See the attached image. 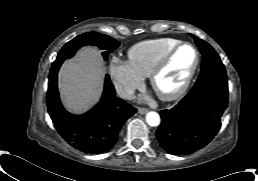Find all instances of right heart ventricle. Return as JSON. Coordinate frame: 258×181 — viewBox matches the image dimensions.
<instances>
[{"label":"right heart ventricle","mask_w":258,"mask_h":181,"mask_svg":"<svg viewBox=\"0 0 258 181\" xmlns=\"http://www.w3.org/2000/svg\"><path fill=\"white\" fill-rule=\"evenodd\" d=\"M174 38L145 40L133 45L128 51V64L143 78L149 77L158 60L176 44Z\"/></svg>","instance_id":"1"}]
</instances>
